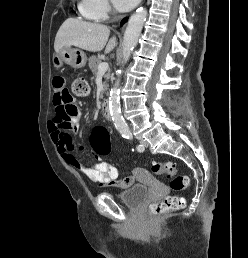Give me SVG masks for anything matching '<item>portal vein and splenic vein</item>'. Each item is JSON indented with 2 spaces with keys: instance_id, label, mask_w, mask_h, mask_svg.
<instances>
[{
  "instance_id": "portal-vein-and-splenic-vein-1",
  "label": "portal vein and splenic vein",
  "mask_w": 248,
  "mask_h": 258,
  "mask_svg": "<svg viewBox=\"0 0 248 258\" xmlns=\"http://www.w3.org/2000/svg\"><path fill=\"white\" fill-rule=\"evenodd\" d=\"M109 65L107 62H101L99 65H98V72L99 73H104L107 71Z\"/></svg>"
}]
</instances>
